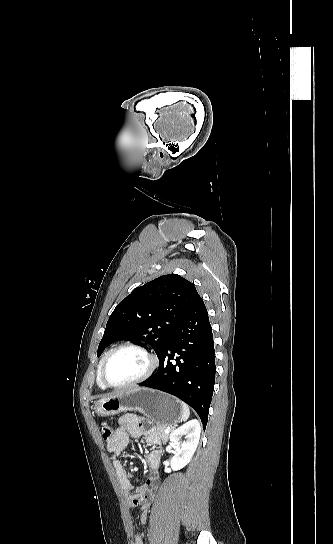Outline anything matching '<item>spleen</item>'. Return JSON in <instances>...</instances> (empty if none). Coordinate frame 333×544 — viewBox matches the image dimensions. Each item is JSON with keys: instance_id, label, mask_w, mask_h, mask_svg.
I'll list each match as a JSON object with an SVG mask.
<instances>
[{"instance_id": "3e777b00", "label": "spleen", "mask_w": 333, "mask_h": 544, "mask_svg": "<svg viewBox=\"0 0 333 544\" xmlns=\"http://www.w3.org/2000/svg\"><path fill=\"white\" fill-rule=\"evenodd\" d=\"M180 405H181V408H182L181 420L186 421L190 416V409L184 402H180Z\"/></svg>"}]
</instances>
